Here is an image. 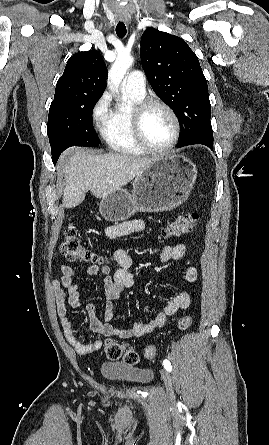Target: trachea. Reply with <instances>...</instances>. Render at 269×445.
<instances>
[{"mask_svg": "<svg viewBox=\"0 0 269 445\" xmlns=\"http://www.w3.org/2000/svg\"><path fill=\"white\" fill-rule=\"evenodd\" d=\"M127 33L126 26L123 22H118L116 26V34L119 38H123Z\"/></svg>", "mask_w": 269, "mask_h": 445, "instance_id": "1", "label": "trachea"}]
</instances>
